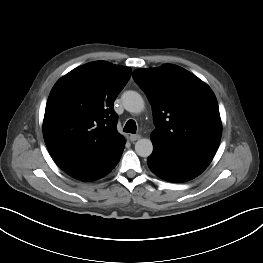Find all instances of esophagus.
<instances>
[{
	"mask_svg": "<svg viewBox=\"0 0 263 263\" xmlns=\"http://www.w3.org/2000/svg\"><path fill=\"white\" fill-rule=\"evenodd\" d=\"M140 138H141V136H140L139 134H131V135H130V140H131L132 142L137 141V140H139Z\"/></svg>",
	"mask_w": 263,
	"mask_h": 263,
	"instance_id": "34e87169",
	"label": "esophagus"
}]
</instances>
